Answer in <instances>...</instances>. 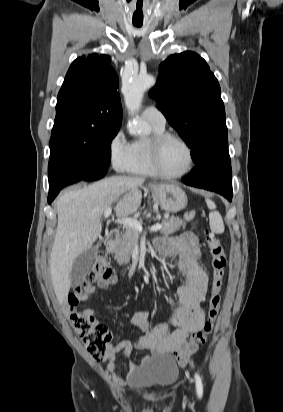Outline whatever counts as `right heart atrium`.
<instances>
[{
    "instance_id": "d8ad5b80",
    "label": "right heart atrium",
    "mask_w": 283,
    "mask_h": 412,
    "mask_svg": "<svg viewBox=\"0 0 283 412\" xmlns=\"http://www.w3.org/2000/svg\"><path fill=\"white\" fill-rule=\"evenodd\" d=\"M108 150L111 164L115 170L124 171L129 159V143L123 130L114 133L109 141Z\"/></svg>"
}]
</instances>
